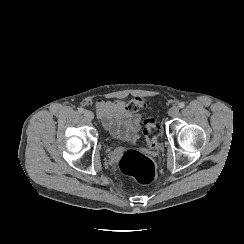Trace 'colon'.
Returning a JSON list of instances; mask_svg holds the SVG:
<instances>
[{"instance_id":"5ec220e1","label":"colon","mask_w":244,"mask_h":244,"mask_svg":"<svg viewBox=\"0 0 244 244\" xmlns=\"http://www.w3.org/2000/svg\"><path fill=\"white\" fill-rule=\"evenodd\" d=\"M146 102V98L135 97L131 100L129 109L138 112L146 106ZM142 124L146 145L149 150L154 151L160 145V126L154 117H145ZM120 169L126 175L137 176V181L144 185L154 181L155 163L144 154L134 151L125 153L120 162Z\"/></svg>"}]
</instances>
